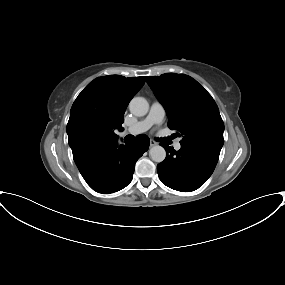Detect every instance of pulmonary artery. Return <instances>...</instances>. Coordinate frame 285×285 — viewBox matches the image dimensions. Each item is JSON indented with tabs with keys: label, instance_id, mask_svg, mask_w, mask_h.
Listing matches in <instances>:
<instances>
[{
	"label": "pulmonary artery",
	"instance_id": "pulmonary-artery-1",
	"mask_svg": "<svg viewBox=\"0 0 285 285\" xmlns=\"http://www.w3.org/2000/svg\"><path fill=\"white\" fill-rule=\"evenodd\" d=\"M164 117H165V109H164L163 105L159 102H153L147 116L144 119L138 121L133 126L125 129L121 133V135H123V136L128 135V134L129 135H138V134H141L143 132H146L153 125L162 123V121L164 120ZM174 148L176 150H179L181 148V141L180 140H177L174 143Z\"/></svg>",
	"mask_w": 285,
	"mask_h": 285
}]
</instances>
